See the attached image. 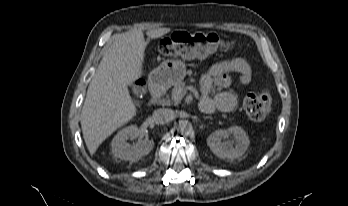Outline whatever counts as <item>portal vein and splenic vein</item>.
Instances as JSON below:
<instances>
[{
    "label": "portal vein and splenic vein",
    "mask_w": 348,
    "mask_h": 206,
    "mask_svg": "<svg viewBox=\"0 0 348 206\" xmlns=\"http://www.w3.org/2000/svg\"><path fill=\"white\" fill-rule=\"evenodd\" d=\"M184 94L181 91H178L174 94L173 98L175 101H180L183 98Z\"/></svg>",
    "instance_id": "obj_1"
}]
</instances>
